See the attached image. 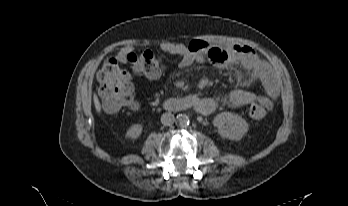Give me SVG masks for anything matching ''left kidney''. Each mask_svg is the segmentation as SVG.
Segmentation results:
<instances>
[{
	"label": "left kidney",
	"instance_id": "left-kidney-1",
	"mask_svg": "<svg viewBox=\"0 0 348 206\" xmlns=\"http://www.w3.org/2000/svg\"><path fill=\"white\" fill-rule=\"evenodd\" d=\"M213 124L218 129L221 137L230 140H240L248 131V123L245 119L231 112H222L218 114Z\"/></svg>",
	"mask_w": 348,
	"mask_h": 206
}]
</instances>
